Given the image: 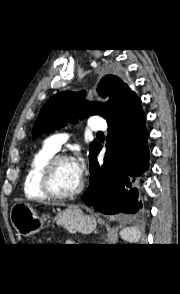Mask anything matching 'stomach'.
<instances>
[{
    "instance_id": "stomach-1",
    "label": "stomach",
    "mask_w": 180,
    "mask_h": 294,
    "mask_svg": "<svg viewBox=\"0 0 180 294\" xmlns=\"http://www.w3.org/2000/svg\"><path fill=\"white\" fill-rule=\"evenodd\" d=\"M10 217L13 227L21 236L30 237L43 229L42 216L28 203H15L11 208ZM55 219L64 228L81 233H90L96 228L95 218L77 207L60 211Z\"/></svg>"
}]
</instances>
